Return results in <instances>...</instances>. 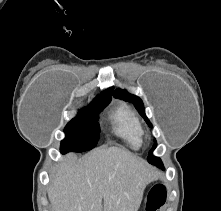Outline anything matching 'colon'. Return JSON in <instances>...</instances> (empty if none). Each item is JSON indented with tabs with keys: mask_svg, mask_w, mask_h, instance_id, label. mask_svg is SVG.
Wrapping results in <instances>:
<instances>
[{
	"mask_svg": "<svg viewBox=\"0 0 221 211\" xmlns=\"http://www.w3.org/2000/svg\"><path fill=\"white\" fill-rule=\"evenodd\" d=\"M167 196L166 186L164 184H156L153 186L147 196L146 211H157L160 209Z\"/></svg>",
	"mask_w": 221,
	"mask_h": 211,
	"instance_id": "obj_1",
	"label": "colon"
}]
</instances>
